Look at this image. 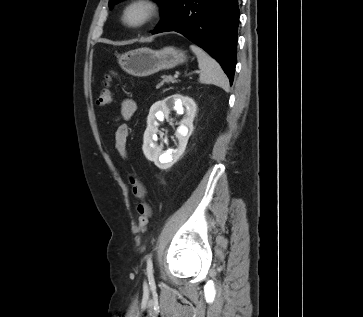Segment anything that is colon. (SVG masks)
<instances>
[{
  "instance_id": "colon-1",
  "label": "colon",
  "mask_w": 363,
  "mask_h": 317,
  "mask_svg": "<svg viewBox=\"0 0 363 317\" xmlns=\"http://www.w3.org/2000/svg\"><path fill=\"white\" fill-rule=\"evenodd\" d=\"M116 76L117 72L115 71H111L106 76L104 86L97 95V104L108 105L112 102L111 83ZM130 181L133 187V193L139 199L137 208L139 213L138 228L140 231H143L147 227L151 216V206L146 201L147 190L144 183L137 176L132 175Z\"/></svg>"
}]
</instances>
